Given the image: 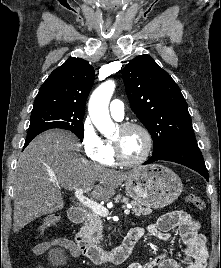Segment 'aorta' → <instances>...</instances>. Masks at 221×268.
I'll return each instance as SVG.
<instances>
[{"label": "aorta", "instance_id": "762f6f07", "mask_svg": "<svg viewBox=\"0 0 221 268\" xmlns=\"http://www.w3.org/2000/svg\"><path fill=\"white\" fill-rule=\"evenodd\" d=\"M115 90V83L108 80L97 87L92 93L88 111L95 127L104 135L115 131V124L109 115V102Z\"/></svg>", "mask_w": 221, "mask_h": 268}]
</instances>
